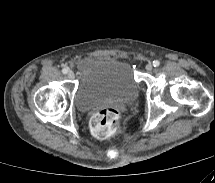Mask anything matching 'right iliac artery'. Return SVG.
I'll return each mask as SVG.
<instances>
[{
	"instance_id": "obj_1",
	"label": "right iliac artery",
	"mask_w": 215,
	"mask_h": 183,
	"mask_svg": "<svg viewBox=\"0 0 215 183\" xmlns=\"http://www.w3.org/2000/svg\"><path fill=\"white\" fill-rule=\"evenodd\" d=\"M68 71H69L68 68H63V69H62V73H63V74H67Z\"/></svg>"
}]
</instances>
